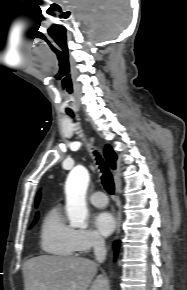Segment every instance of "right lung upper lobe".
I'll use <instances>...</instances> for the list:
<instances>
[{"mask_svg": "<svg viewBox=\"0 0 187 290\" xmlns=\"http://www.w3.org/2000/svg\"><path fill=\"white\" fill-rule=\"evenodd\" d=\"M104 156H105V159L108 163V165L112 168V169H115L116 167V154L115 152L113 151V149L111 148L110 145H106L105 149H104ZM39 199H40V193H38V196L36 198V205H38L39 203ZM38 216V215H37ZM36 216V217H37Z\"/></svg>", "mask_w": 187, "mask_h": 290, "instance_id": "right-lung-upper-lobe-1", "label": "right lung upper lobe"}]
</instances>
